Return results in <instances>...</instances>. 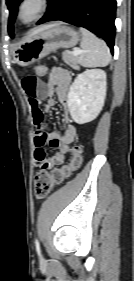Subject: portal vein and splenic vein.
I'll return each mask as SVG.
<instances>
[{"mask_svg":"<svg viewBox=\"0 0 134 281\" xmlns=\"http://www.w3.org/2000/svg\"><path fill=\"white\" fill-rule=\"evenodd\" d=\"M81 53H82V50H79V49H75V50L72 51V54L75 55V56H77Z\"/></svg>","mask_w":134,"mask_h":281,"instance_id":"18ae733b","label":"portal vein and splenic vein"}]
</instances>
